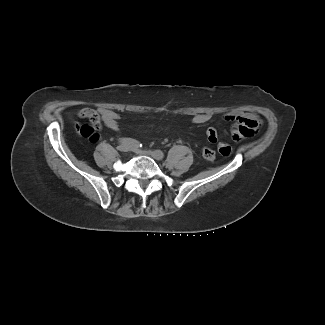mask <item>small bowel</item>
I'll return each mask as SVG.
<instances>
[{
	"label": "small bowel",
	"instance_id": "c3829d8e",
	"mask_svg": "<svg viewBox=\"0 0 325 325\" xmlns=\"http://www.w3.org/2000/svg\"><path fill=\"white\" fill-rule=\"evenodd\" d=\"M79 117L88 120V126L98 131L102 125L106 126L113 132L119 131L118 120L120 116L113 110L107 108H84L79 112ZM210 120V115L206 113L197 114L193 117L195 124H205ZM224 120L230 125L228 134L234 142L253 136L259 128L258 119L251 113H227ZM84 126H78L77 129L84 136ZM206 138L212 144H217L220 153L223 156L231 154V147L225 143L218 141V133L214 128L206 130ZM94 140V139H91Z\"/></svg>",
	"mask_w": 325,
	"mask_h": 325
}]
</instances>
